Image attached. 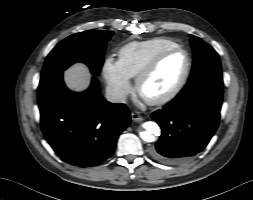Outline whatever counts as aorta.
I'll list each match as a JSON object with an SVG mask.
<instances>
[{
    "label": "aorta",
    "instance_id": "762f6f07",
    "mask_svg": "<svg viewBox=\"0 0 253 200\" xmlns=\"http://www.w3.org/2000/svg\"><path fill=\"white\" fill-rule=\"evenodd\" d=\"M143 127L146 129L145 132L140 133V137L146 142H153L154 135L158 136L160 134L159 126L152 121L145 122Z\"/></svg>",
    "mask_w": 253,
    "mask_h": 200
}]
</instances>
